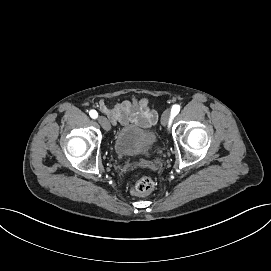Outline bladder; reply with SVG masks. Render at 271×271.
<instances>
[{
  "label": "bladder",
  "instance_id": "31cf9c89",
  "mask_svg": "<svg viewBox=\"0 0 271 271\" xmlns=\"http://www.w3.org/2000/svg\"><path fill=\"white\" fill-rule=\"evenodd\" d=\"M156 140L153 130L148 131L131 123L117 133L114 140L115 151L120 156H133L144 151L149 153L153 150Z\"/></svg>",
  "mask_w": 271,
  "mask_h": 271
}]
</instances>
